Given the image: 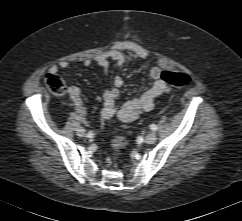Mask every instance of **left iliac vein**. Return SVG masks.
I'll use <instances>...</instances> for the list:
<instances>
[{
    "instance_id": "1",
    "label": "left iliac vein",
    "mask_w": 242,
    "mask_h": 221,
    "mask_svg": "<svg viewBox=\"0 0 242 221\" xmlns=\"http://www.w3.org/2000/svg\"><path fill=\"white\" fill-rule=\"evenodd\" d=\"M157 140V136L155 133H149L147 134V136L145 137V142L147 144H153L155 141Z\"/></svg>"
}]
</instances>
